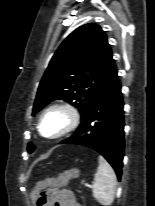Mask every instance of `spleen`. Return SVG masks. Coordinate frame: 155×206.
Returning <instances> with one entry per match:
<instances>
[{"instance_id": "obj_1", "label": "spleen", "mask_w": 155, "mask_h": 206, "mask_svg": "<svg viewBox=\"0 0 155 206\" xmlns=\"http://www.w3.org/2000/svg\"><path fill=\"white\" fill-rule=\"evenodd\" d=\"M116 185L117 178L114 170L102 156H99V167L92 187L93 197L104 206L111 205L114 201Z\"/></svg>"}]
</instances>
